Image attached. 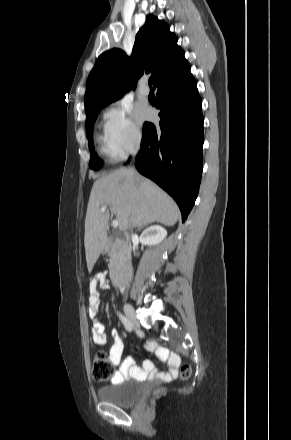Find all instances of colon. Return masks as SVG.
<instances>
[{
    "label": "colon",
    "mask_w": 291,
    "mask_h": 440,
    "mask_svg": "<svg viewBox=\"0 0 291 440\" xmlns=\"http://www.w3.org/2000/svg\"><path fill=\"white\" fill-rule=\"evenodd\" d=\"M191 374V367L189 364H185L181 368V376L183 378H188ZM92 375L97 381H106L110 379L113 375V371L109 364L107 357L103 354L97 355L92 364ZM163 389L157 388L154 396L158 397L162 394Z\"/></svg>",
    "instance_id": "5ec220e1"
}]
</instances>
